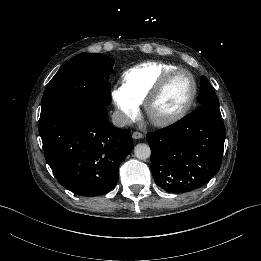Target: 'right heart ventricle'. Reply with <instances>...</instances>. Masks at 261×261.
I'll list each match as a JSON object with an SVG mask.
<instances>
[{
    "mask_svg": "<svg viewBox=\"0 0 261 261\" xmlns=\"http://www.w3.org/2000/svg\"><path fill=\"white\" fill-rule=\"evenodd\" d=\"M175 67L164 62H144L126 70L122 88L139 104L144 103L162 77Z\"/></svg>",
    "mask_w": 261,
    "mask_h": 261,
    "instance_id": "1",
    "label": "right heart ventricle"
}]
</instances>
